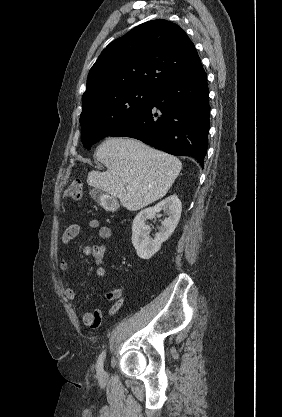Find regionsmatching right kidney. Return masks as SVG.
Instances as JSON below:
<instances>
[{
	"mask_svg": "<svg viewBox=\"0 0 282 417\" xmlns=\"http://www.w3.org/2000/svg\"><path fill=\"white\" fill-rule=\"evenodd\" d=\"M165 211L168 215L165 221H162V227L159 233H156L154 239H149V225H146L147 219H155L156 213ZM182 204L176 194H170L164 200H160L155 206H148L136 215L132 225V243L140 259H151L155 253H158L162 243L171 237L175 231L181 217Z\"/></svg>",
	"mask_w": 282,
	"mask_h": 417,
	"instance_id": "ca27d5eb",
	"label": "right kidney"
}]
</instances>
